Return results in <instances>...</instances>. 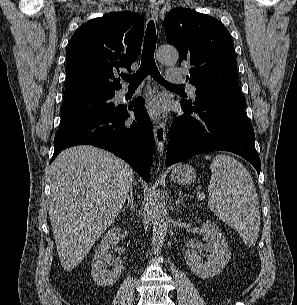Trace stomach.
Segmentation results:
<instances>
[{
	"label": "stomach",
	"mask_w": 297,
	"mask_h": 305,
	"mask_svg": "<svg viewBox=\"0 0 297 305\" xmlns=\"http://www.w3.org/2000/svg\"><path fill=\"white\" fill-rule=\"evenodd\" d=\"M196 172L194 168L188 164L176 165L171 173V179L180 185L191 184L195 181Z\"/></svg>",
	"instance_id": "stomach-1"
}]
</instances>
